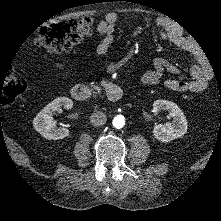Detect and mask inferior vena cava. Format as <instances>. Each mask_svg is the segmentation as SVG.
<instances>
[{
	"label": "inferior vena cava",
	"instance_id": "1",
	"mask_svg": "<svg viewBox=\"0 0 221 221\" xmlns=\"http://www.w3.org/2000/svg\"><path fill=\"white\" fill-rule=\"evenodd\" d=\"M107 122V116L103 112H95L90 115V123L93 126L101 127Z\"/></svg>",
	"mask_w": 221,
	"mask_h": 221
}]
</instances>
